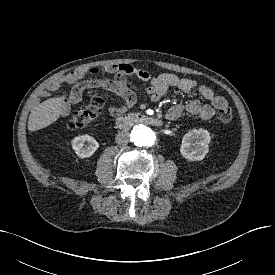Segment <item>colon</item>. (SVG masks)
Wrapping results in <instances>:
<instances>
[{
	"mask_svg": "<svg viewBox=\"0 0 275 275\" xmlns=\"http://www.w3.org/2000/svg\"><path fill=\"white\" fill-rule=\"evenodd\" d=\"M103 105V99L97 94L92 93L88 103L72 113L67 122L68 128L77 130L86 127L97 119L102 111ZM218 119L222 123H230L233 119L232 109L228 106L219 109Z\"/></svg>",
	"mask_w": 275,
	"mask_h": 275,
	"instance_id": "colon-1",
	"label": "colon"
}]
</instances>
